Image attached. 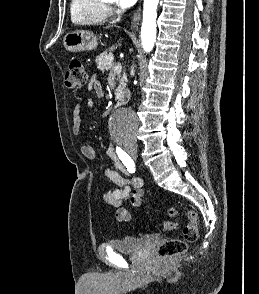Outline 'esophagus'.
I'll return each instance as SVG.
<instances>
[{"label":"esophagus","instance_id":"esophagus-1","mask_svg":"<svg viewBox=\"0 0 259 294\" xmlns=\"http://www.w3.org/2000/svg\"><path fill=\"white\" fill-rule=\"evenodd\" d=\"M140 11H141V7L139 6L138 9L133 14V17H132V21H131V27L132 28H137L138 25H139Z\"/></svg>","mask_w":259,"mask_h":294}]
</instances>
